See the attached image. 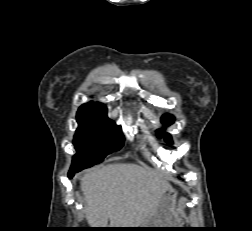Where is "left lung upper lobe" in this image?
Masks as SVG:
<instances>
[{"label": "left lung upper lobe", "mask_w": 252, "mask_h": 231, "mask_svg": "<svg viewBox=\"0 0 252 231\" xmlns=\"http://www.w3.org/2000/svg\"><path fill=\"white\" fill-rule=\"evenodd\" d=\"M161 122L163 124H165L166 126H168V125H170V124H172L174 122V117L172 115H170V114H164L162 116V118H161ZM157 135H158L159 138L164 136L165 141L167 143L172 144V139H171V136L169 134L164 133L162 131H159Z\"/></svg>", "instance_id": "1"}]
</instances>
